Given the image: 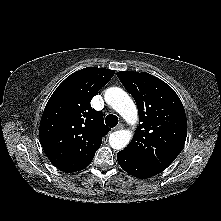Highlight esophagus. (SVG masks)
Wrapping results in <instances>:
<instances>
[{
  "label": "esophagus",
  "instance_id": "1",
  "mask_svg": "<svg viewBox=\"0 0 221 221\" xmlns=\"http://www.w3.org/2000/svg\"><path fill=\"white\" fill-rule=\"evenodd\" d=\"M124 128V124L120 123L118 126L114 128V130H121Z\"/></svg>",
  "mask_w": 221,
  "mask_h": 221
}]
</instances>
